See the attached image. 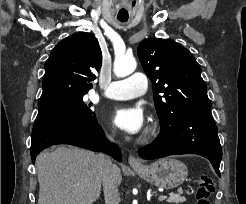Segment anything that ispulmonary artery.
Instances as JSON below:
<instances>
[{
    "mask_svg": "<svg viewBox=\"0 0 246 204\" xmlns=\"http://www.w3.org/2000/svg\"><path fill=\"white\" fill-rule=\"evenodd\" d=\"M147 87L146 75L136 72L126 79L112 82L104 95L115 100H127L143 95Z\"/></svg>",
    "mask_w": 246,
    "mask_h": 204,
    "instance_id": "e3ab8cb5",
    "label": "pulmonary artery"
}]
</instances>
